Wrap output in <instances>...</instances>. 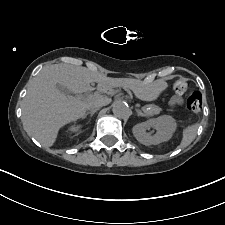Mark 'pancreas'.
Masks as SVG:
<instances>
[{
	"label": "pancreas",
	"mask_w": 225,
	"mask_h": 225,
	"mask_svg": "<svg viewBox=\"0 0 225 225\" xmlns=\"http://www.w3.org/2000/svg\"><path fill=\"white\" fill-rule=\"evenodd\" d=\"M143 110L146 116H153L161 112V108L156 105H147Z\"/></svg>",
	"instance_id": "1"
}]
</instances>
